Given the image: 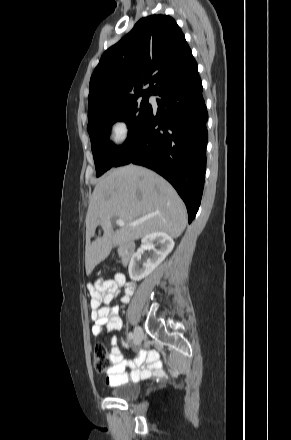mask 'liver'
Listing matches in <instances>:
<instances>
[{
	"mask_svg": "<svg viewBox=\"0 0 291 440\" xmlns=\"http://www.w3.org/2000/svg\"><path fill=\"white\" fill-rule=\"evenodd\" d=\"M125 226L115 233L111 220ZM143 220L136 226L129 224ZM98 225L103 236L91 242ZM187 225L185 204L163 177L137 165L110 171L95 186L86 215V274L110 253L112 244L123 245L153 232L178 238Z\"/></svg>",
	"mask_w": 291,
	"mask_h": 440,
	"instance_id": "obj_1",
	"label": "liver"
}]
</instances>
